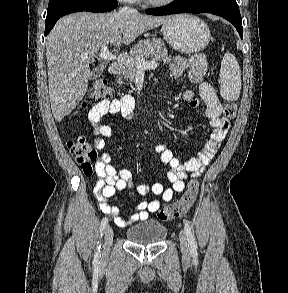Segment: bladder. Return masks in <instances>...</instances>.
<instances>
[{
  "mask_svg": "<svg viewBox=\"0 0 288 293\" xmlns=\"http://www.w3.org/2000/svg\"><path fill=\"white\" fill-rule=\"evenodd\" d=\"M166 235V227L153 219L133 225L126 231V237L130 242L141 245L159 243Z\"/></svg>",
  "mask_w": 288,
  "mask_h": 293,
  "instance_id": "obj_1",
  "label": "bladder"
}]
</instances>
